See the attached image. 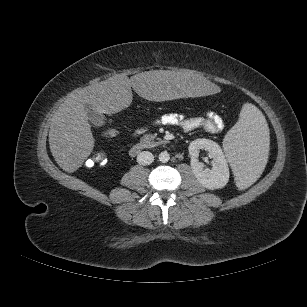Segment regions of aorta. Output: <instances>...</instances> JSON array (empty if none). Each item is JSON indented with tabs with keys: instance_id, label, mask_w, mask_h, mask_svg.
<instances>
[{
	"instance_id": "aorta-1",
	"label": "aorta",
	"mask_w": 307,
	"mask_h": 307,
	"mask_svg": "<svg viewBox=\"0 0 307 307\" xmlns=\"http://www.w3.org/2000/svg\"><path fill=\"white\" fill-rule=\"evenodd\" d=\"M158 159H159L160 162L166 163L170 160V155L167 151H163L159 154Z\"/></svg>"
}]
</instances>
